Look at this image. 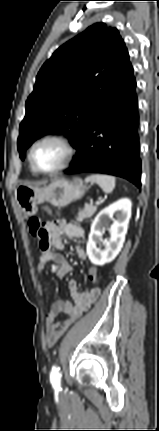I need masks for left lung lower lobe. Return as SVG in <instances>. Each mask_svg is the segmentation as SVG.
Returning a JSON list of instances; mask_svg holds the SVG:
<instances>
[{
  "label": "left lung lower lobe",
  "instance_id": "1",
  "mask_svg": "<svg viewBox=\"0 0 159 431\" xmlns=\"http://www.w3.org/2000/svg\"><path fill=\"white\" fill-rule=\"evenodd\" d=\"M136 81L131 66L85 128L67 174L119 176L141 187Z\"/></svg>",
  "mask_w": 159,
  "mask_h": 431
}]
</instances>
